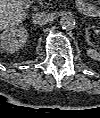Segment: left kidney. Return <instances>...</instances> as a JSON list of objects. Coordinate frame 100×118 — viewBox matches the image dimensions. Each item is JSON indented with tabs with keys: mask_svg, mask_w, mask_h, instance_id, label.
Here are the masks:
<instances>
[{
	"mask_svg": "<svg viewBox=\"0 0 100 118\" xmlns=\"http://www.w3.org/2000/svg\"><path fill=\"white\" fill-rule=\"evenodd\" d=\"M87 55L94 60H97V61L100 60V52H98L95 49L89 48L87 50Z\"/></svg>",
	"mask_w": 100,
	"mask_h": 118,
	"instance_id": "1",
	"label": "left kidney"
}]
</instances>
